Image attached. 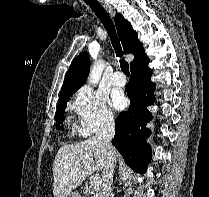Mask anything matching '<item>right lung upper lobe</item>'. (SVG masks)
<instances>
[{"mask_svg":"<svg viewBox=\"0 0 209 197\" xmlns=\"http://www.w3.org/2000/svg\"><path fill=\"white\" fill-rule=\"evenodd\" d=\"M115 24L125 53L134 55L130 67L147 58L143 44L138 40L137 32L133 30L131 24L120 13L115 16ZM89 70L90 59L86 53H81L75 58L66 73L59 99L68 92L79 89L85 83Z\"/></svg>","mask_w":209,"mask_h":197,"instance_id":"right-lung-upper-lobe-1","label":"right lung upper lobe"}]
</instances>
